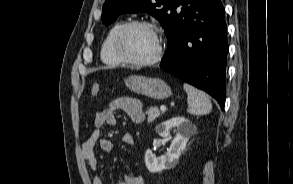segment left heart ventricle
<instances>
[{
    "instance_id": "obj_1",
    "label": "left heart ventricle",
    "mask_w": 293,
    "mask_h": 184,
    "mask_svg": "<svg viewBox=\"0 0 293 184\" xmlns=\"http://www.w3.org/2000/svg\"><path fill=\"white\" fill-rule=\"evenodd\" d=\"M120 48L131 59L145 60L155 54L157 43L151 30L137 26L129 29L123 35Z\"/></svg>"
}]
</instances>
